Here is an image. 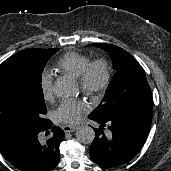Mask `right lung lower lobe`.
Wrapping results in <instances>:
<instances>
[{
    "mask_svg": "<svg viewBox=\"0 0 171 171\" xmlns=\"http://www.w3.org/2000/svg\"><path fill=\"white\" fill-rule=\"evenodd\" d=\"M51 135L46 142H41L39 134ZM65 133L58 126L46 120L44 125L25 138L9 155L5 156L15 168L21 171H51L59 163V145Z\"/></svg>",
    "mask_w": 171,
    "mask_h": 171,
    "instance_id": "98d812e1",
    "label": "right lung lower lobe"
}]
</instances>
